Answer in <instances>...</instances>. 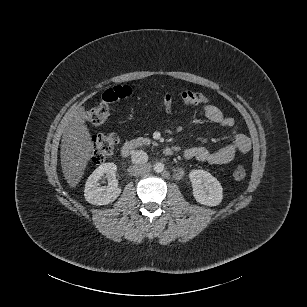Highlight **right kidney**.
Returning <instances> with one entry per match:
<instances>
[{
	"mask_svg": "<svg viewBox=\"0 0 307 307\" xmlns=\"http://www.w3.org/2000/svg\"><path fill=\"white\" fill-rule=\"evenodd\" d=\"M117 166L114 163L101 164L88 178L85 184L84 196L87 202L94 205H107L116 200L121 193L116 179ZM106 174L107 187H99L98 181Z\"/></svg>",
	"mask_w": 307,
	"mask_h": 307,
	"instance_id": "right-kidney-1",
	"label": "right kidney"
}]
</instances>
